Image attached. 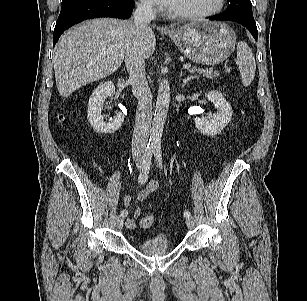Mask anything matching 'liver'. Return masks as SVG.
Returning a JSON list of instances; mask_svg holds the SVG:
<instances>
[{
  "label": "liver",
  "mask_w": 307,
  "mask_h": 301,
  "mask_svg": "<svg viewBox=\"0 0 307 301\" xmlns=\"http://www.w3.org/2000/svg\"><path fill=\"white\" fill-rule=\"evenodd\" d=\"M130 20L100 18L69 29L59 39L54 52L57 89L68 97L81 86L114 73L122 64L127 45L133 40ZM156 48L155 35L148 27L144 37V58Z\"/></svg>",
  "instance_id": "6515ba94"
}]
</instances>
